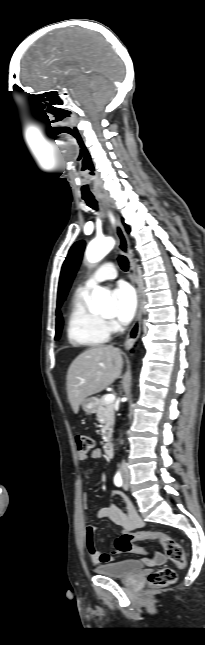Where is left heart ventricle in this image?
Masks as SVG:
<instances>
[{"label":"left heart ventricle","mask_w":205,"mask_h":645,"mask_svg":"<svg viewBox=\"0 0 205 645\" xmlns=\"http://www.w3.org/2000/svg\"><path fill=\"white\" fill-rule=\"evenodd\" d=\"M111 313H107L106 316H109Z\"/></svg>","instance_id":"obj_1"}]
</instances>
